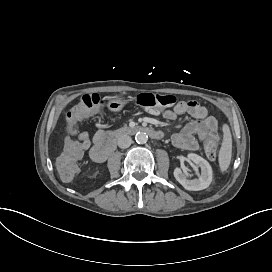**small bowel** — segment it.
<instances>
[{
	"mask_svg": "<svg viewBox=\"0 0 272 272\" xmlns=\"http://www.w3.org/2000/svg\"><path fill=\"white\" fill-rule=\"evenodd\" d=\"M183 114L191 116L193 120L186 123L180 132L173 135L172 142L174 146L183 150H199L201 149V145L196 140L195 135L202 137L208 131L216 132L219 128V123L215 117L208 115L206 107L193 100L177 102L173 108L164 112V117L168 120H175L179 115ZM100 135L101 133H99L94 142H92L87 132L83 131L78 134V140H80L83 145L81 155L83 151L90 150L94 147L93 145L97 143Z\"/></svg>",
	"mask_w": 272,
	"mask_h": 272,
	"instance_id": "small-bowel-1",
	"label": "small bowel"
}]
</instances>
